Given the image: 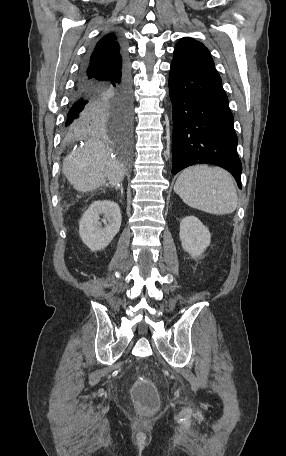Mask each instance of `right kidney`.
Here are the masks:
<instances>
[{
  "label": "right kidney",
  "instance_id": "obj_1",
  "mask_svg": "<svg viewBox=\"0 0 286 456\" xmlns=\"http://www.w3.org/2000/svg\"><path fill=\"white\" fill-rule=\"evenodd\" d=\"M100 215H103L101 226ZM122 216L117 203L110 200L93 202L79 222V235L91 251L106 248L119 232Z\"/></svg>",
  "mask_w": 286,
  "mask_h": 456
}]
</instances>
